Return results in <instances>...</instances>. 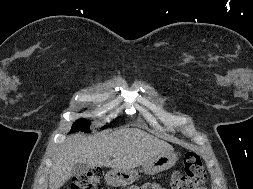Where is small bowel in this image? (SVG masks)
<instances>
[{
    "label": "small bowel",
    "instance_id": "small-bowel-1",
    "mask_svg": "<svg viewBox=\"0 0 253 189\" xmlns=\"http://www.w3.org/2000/svg\"><path fill=\"white\" fill-rule=\"evenodd\" d=\"M132 189H165V188L158 183H154V184H145L141 187H133Z\"/></svg>",
    "mask_w": 253,
    "mask_h": 189
}]
</instances>
